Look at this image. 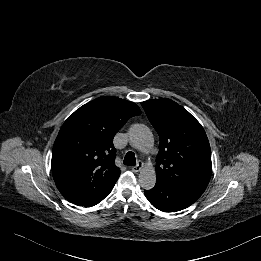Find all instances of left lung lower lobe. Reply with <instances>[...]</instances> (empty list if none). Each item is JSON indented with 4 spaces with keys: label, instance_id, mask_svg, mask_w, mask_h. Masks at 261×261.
Returning a JSON list of instances; mask_svg holds the SVG:
<instances>
[{
    "label": "left lung lower lobe",
    "instance_id": "left-lung-lower-lobe-1",
    "mask_svg": "<svg viewBox=\"0 0 261 261\" xmlns=\"http://www.w3.org/2000/svg\"><path fill=\"white\" fill-rule=\"evenodd\" d=\"M148 201L163 212H176L193 204L200 193L179 186L165 185L156 182L151 190L144 191Z\"/></svg>",
    "mask_w": 261,
    "mask_h": 261
}]
</instances>
